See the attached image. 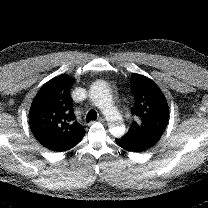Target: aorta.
Segmentation results:
<instances>
[{"instance_id":"obj_1","label":"aorta","mask_w":208,"mask_h":208,"mask_svg":"<svg viewBox=\"0 0 208 208\" xmlns=\"http://www.w3.org/2000/svg\"><path fill=\"white\" fill-rule=\"evenodd\" d=\"M90 98L109 121L110 133L115 137H121L125 133V126L121 114L114 105L107 83L101 80L94 82L90 88Z\"/></svg>"}]
</instances>
